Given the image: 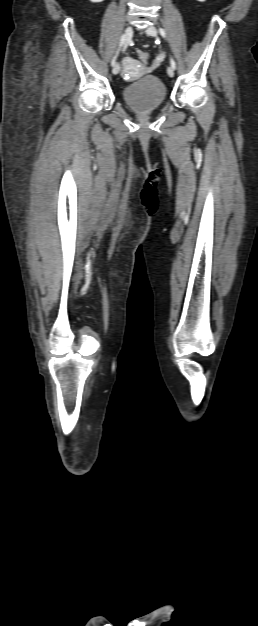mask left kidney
I'll return each mask as SVG.
<instances>
[{
  "label": "left kidney",
  "mask_w": 258,
  "mask_h": 626,
  "mask_svg": "<svg viewBox=\"0 0 258 626\" xmlns=\"http://www.w3.org/2000/svg\"><path fill=\"white\" fill-rule=\"evenodd\" d=\"M197 1H199V2H205L206 0H197Z\"/></svg>",
  "instance_id": "obj_1"
}]
</instances>
